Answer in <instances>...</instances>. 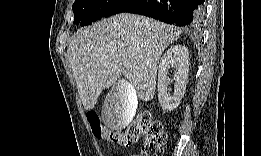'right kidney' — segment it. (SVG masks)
Instances as JSON below:
<instances>
[{"label":"right kidney","instance_id":"obj_1","mask_svg":"<svg viewBox=\"0 0 261 156\" xmlns=\"http://www.w3.org/2000/svg\"><path fill=\"white\" fill-rule=\"evenodd\" d=\"M170 67L175 68L173 78L168 77ZM189 72V53L183 45L170 47L163 55L158 70V99L163 110L171 111L175 109L186 90ZM174 82L172 94L168 92V82ZM119 82L117 87H120Z\"/></svg>","mask_w":261,"mask_h":156}]
</instances>
